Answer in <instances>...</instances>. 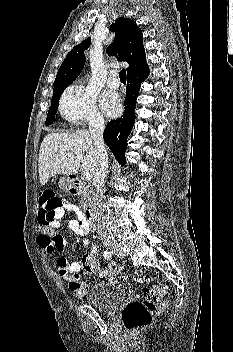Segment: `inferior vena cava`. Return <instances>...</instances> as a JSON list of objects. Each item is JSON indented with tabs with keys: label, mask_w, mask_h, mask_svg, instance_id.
I'll return each mask as SVG.
<instances>
[{
	"label": "inferior vena cava",
	"mask_w": 233,
	"mask_h": 352,
	"mask_svg": "<svg viewBox=\"0 0 233 352\" xmlns=\"http://www.w3.org/2000/svg\"><path fill=\"white\" fill-rule=\"evenodd\" d=\"M105 129L104 118L100 114H94L89 121V133L97 148V163L93 178V201L94 216L93 221L98 226V233L105 244H111V235L105 228V217L102 212L103 186L108 168L107 150L103 141Z\"/></svg>",
	"instance_id": "1"
}]
</instances>
